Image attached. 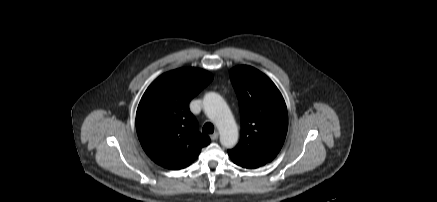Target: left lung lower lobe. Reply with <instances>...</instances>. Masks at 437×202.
Wrapping results in <instances>:
<instances>
[{
	"label": "left lung lower lobe",
	"instance_id": "1",
	"mask_svg": "<svg viewBox=\"0 0 437 202\" xmlns=\"http://www.w3.org/2000/svg\"><path fill=\"white\" fill-rule=\"evenodd\" d=\"M231 159H232V161H233L235 164H237V165H239V166H241V167H244V168H250V167H248L247 165H245V164L239 162L238 160H235V159H233V158H231ZM250 169H252V168H250Z\"/></svg>",
	"mask_w": 437,
	"mask_h": 202
}]
</instances>
